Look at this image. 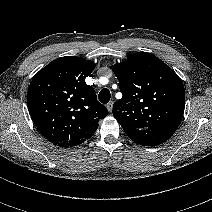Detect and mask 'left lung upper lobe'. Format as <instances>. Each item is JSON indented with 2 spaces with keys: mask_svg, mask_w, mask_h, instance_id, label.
<instances>
[{
  "mask_svg": "<svg viewBox=\"0 0 212 212\" xmlns=\"http://www.w3.org/2000/svg\"><path fill=\"white\" fill-rule=\"evenodd\" d=\"M113 70L123 94L113 105V115L126 134L134 129L178 128L185 90L168 65L151 53L137 52Z\"/></svg>",
  "mask_w": 212,
  "mask_h": 212,
  "instance_id": "1",
  "label": "left lung upper lobe"
}]
</instances>
